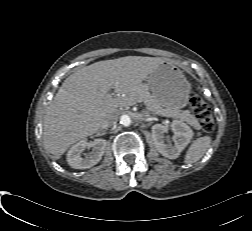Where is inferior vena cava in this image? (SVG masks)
<instances>
[{"label": "inferior vena cava", "mask_w": 252, "mask_h": 231, "mask_svg": "<svg viewBox=\"0 0 252 231\" xmlns=\"http://www.w3.org/2000/svg\"><path fill=\"white\" fill-rule=\"evenodd\" d=\"M117 121H118V115L117 114H110L105 118L101 127L102 128L111 127V126L115 125L117 123Z\"/></svg>", "instance_id": "obj_1"}]
</instances>
